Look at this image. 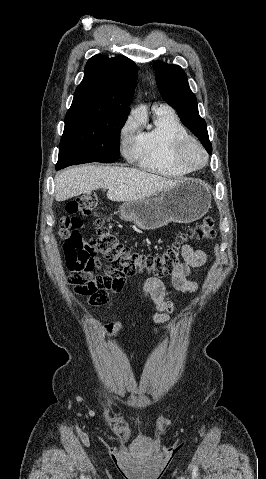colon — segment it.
Masks as SVG:
<instances>
[{"label":"colon","mask_w":266,"mask_h":479,"mask_svg":"<svg viewBox=\"0 0 266 479\" xmlns=\"http://www.w3.org/2000/svg\"><path fill=\"white\" fill-rule=\"evenodd\" d=\"M96 209L94 194L73 198L67 202L66 215L59 223V232L65 238L62 250L71 272L70 281L75 291L92 305H102L111 293L120 291L125 276L148 273L163 277L173 273L181 263L182 247L187 240L208 241L216 235L214 220L206 217L194 228L180 233L163 253L143 254L124 245L101 218L97 220V237L87 241L81 232L87 229L86 219ZM98 252L112 269V274L92 276Z\"/></svg>","instance_id":"1"}]
</instances>
